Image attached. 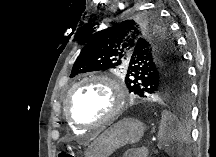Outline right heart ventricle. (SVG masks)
Wrapping results in <instances>:
<instances>
[{
	"mask_svg": "<svg viewBox=\"0 0 216 157\" xmlns=\"http://www.w3.org/2000/svg\"><path fill=\"white\" fill-rule=\"evenodd\" d=\"M75 131H79L80 130V128H78V127H75V126H71Z\"/></svg>",
	"mask_w": 216,
	"mask_h": 157,
	"instance_id": "1",
	"label": "right heart ventricle"
}]
</instances>
